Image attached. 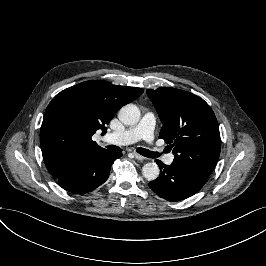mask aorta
I'll use <instances>...</instances> for the list:
<instances>
[{
    "label": "aorta",
    "instance_id": "1",
    "mask_svg": "<svg viewBox=\"0 0 266 266\" xmlns=\"http://www.w3.org/2000/svg\"><path fill=\"white\" fill-rule=\"evenodd\" d=\"M140 114V110L136 105L127 104L120 109L118 118L125 125H135L140 120ZM142 174L148 181H153L158 178L160 169L156 163H146L142 167Z\"/></svg>",
    "mask_w": 266,
    "mask_h": 266
}]
</instances>
